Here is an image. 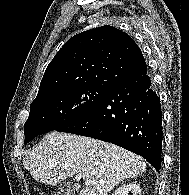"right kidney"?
<instances>
[{
	"mask_svg": "<svg viewBox=\"0 0 189 195\" xmlns=\"http://www.w3.org/2000/svg\"><path fill=\"white\" fill-rule=\"evenodd\" d=\"M141 195V188L136 183H128L117 188L112 195Z\"/></svg>",
	"mask_w": 189,
	"mask_h": 195,
	"instance_id": "obj_1",
	"label": "right kidney"
}]
</instances>
